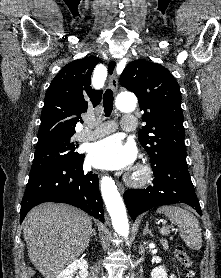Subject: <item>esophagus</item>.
I'll list each match as a JSON object with an SVG mask.
<instances>
[{
    "instance_id": "1",
    "label": "esophagus",
    "mask_w": 221,
    "mask_h": 278,
    "mask_svg": "<svg viewBox=\"0 0 221 278\" xmlns=\"http://www.w3.org/2000/svg\"><path fill=\"white\" fill-rule=\"evenodd\" d=\"M116 65H117L116 61L111 63V67H113L114 70L109 75V86L114 92H116L117 88H118V79H117V75H116ZM118 186H119L120 192L123 193L124 192V187L119 183H118Z\"/></svg>"
}]
</instances>
